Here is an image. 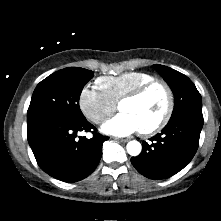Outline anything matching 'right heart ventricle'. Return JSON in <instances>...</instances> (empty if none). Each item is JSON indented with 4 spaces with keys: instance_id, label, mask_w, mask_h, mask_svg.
I'll use <instances>...</instances> for the list:
<instances>
[{
    "instance_id": "obj_1",
    "label": "right heart ventricle",
    "mask_w": 221,
    "mask_h": 221,
    "mask_svg": "<svg viewBox=\"0 0 221 221\" xmlns=\"http://www.w3.org/2000/svg\"><path fill=\"white\" fill-rule=\"evenodd\" d=\"M153 79L154 76L150 73L132 71L118 76H103L96 83L108 98L118 103L124 95Z\"/></svg>"
}]
</instances>
